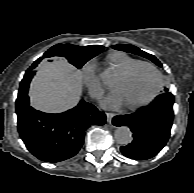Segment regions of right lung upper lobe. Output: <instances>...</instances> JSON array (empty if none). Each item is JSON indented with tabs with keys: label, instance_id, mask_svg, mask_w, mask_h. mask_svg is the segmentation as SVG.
<instances>
[{
	"label": "right lung upper lobe",
	"instance_id": "1",
	"mask_svg": "<svg viewBox=\"0 0 194 193\" xmlns=\"http://www.w3.org/2000/svg\"><path fill=\"white\" fill-rule=\"evenodd\" d=\"M57 48H62V49H67V50H74V51H78V52L85 53V54H92V53L99 54L104 49V47L100 46V45L80 47V46H75V45H71V44H57V45L53 46L52 48H50L44 54V57L48 58L49 59L48 61H52V60H50V58H53L55 56H61V53L59 51H55ZM42 59H43V57L36 60L32 64V66L26 71V74H25V76L22 80L24 85H29L30 84L31 79H32L33 75L36 72V68H37L38 64L40 63V61Z\"/></svg>",
	"mask_w": 194,
	"mask_h": 193
}]
</instances>
